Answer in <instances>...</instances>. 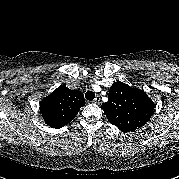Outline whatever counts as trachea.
<instances>
[{"label":"trachea","mask_w":179,"mask_h":179,"mask_svg":"<svg viewBox=\"0 0 179 179\" xmlns=\"http://www.w3.org/2000/svg\"><path fill=\"white\" fill-rule=\"evenodd\" d=\"M85 98L88 100V101H92L94 100L95 98V93L93 91H87L85 93Z\"/></svg>","instance_id":"3493384b"}]
</instances>
